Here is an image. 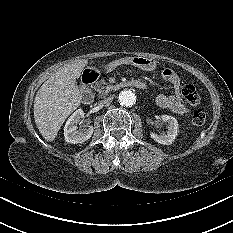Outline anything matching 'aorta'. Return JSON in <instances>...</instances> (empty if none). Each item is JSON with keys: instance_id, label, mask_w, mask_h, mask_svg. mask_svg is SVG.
Here are the masks:
<instances>
[{"instance_id": "762f6f07", "label": "aorta", "mask_w": 233, "mask_h": 233, "mask_svg": "<svg viewBox=\"0 0 233 233\" xmlns=\"http://www.w3.org/2000/svg\"><path fill=\"white\" fill-rule=\"evenodd\" d=\"M137 95L132 89H126L119 93L118 101L121 106L131 107L136 103Z\"/></svg>"}]
</instances>
